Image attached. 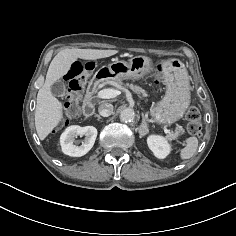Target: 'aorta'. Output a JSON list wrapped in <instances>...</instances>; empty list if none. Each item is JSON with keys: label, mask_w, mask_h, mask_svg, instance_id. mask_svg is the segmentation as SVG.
Masks as SVG:
<instances>
[{"label": "aorta", "mask_w": 236, "mask_h": 236, "mask_svg": "<svg viewBox=\"0 0 236 236\" xmlns=\"http://www.w3.org/2000/svg\"><path fill=\"white\" fill-rule=\"evenodd\" d=\"M134 118H135V113L130 108H126L122 110L120 113V120L122 122H125V123L132 122Z\"/></svg>", "instance_id": "obj_1"}]
</instances>
